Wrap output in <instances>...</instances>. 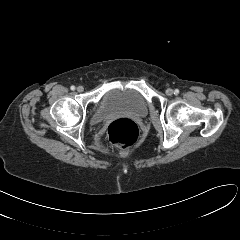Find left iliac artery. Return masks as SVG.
<instances>
[{
	"label": "left iliac artery",
	"instance_id": "44dca946",
	"mask_svg": "<svg viewBox=\"0 0 240 240\" xmlns=\"http://www.w3.org/2000/svg\"><path fill=\"white\" fill-rule=\"evenodd\" d=\"M174 94H175V95H178V94H179V90H178V89H175Z\"/></svg>",
	"mask_w": 240,
	"mask_h": 240
}]
</instances>
